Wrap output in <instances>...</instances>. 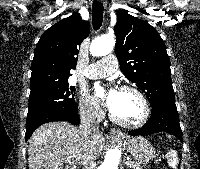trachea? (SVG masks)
Returning <instances> with one entry per match:
<instances>
[{"mask_svg": "<svg viewBox=\"0 0 200 169\" xmlns=\"http://www.w3.org/2000/svg\"><path fill=\"white\" fill-rule=\"evenodd\" d=\"M103 21V4L94 0L92 4V25L94 30H98Z\"/></svg>", "mask_w": 200, "mask_h": 169, "instance_id": "1", "label": "trachea"}]
</instances>
